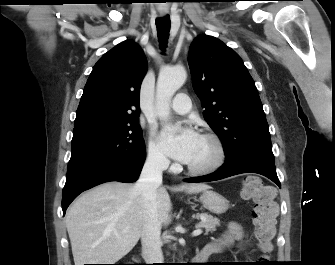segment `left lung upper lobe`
Listing matches in <instances>:
<instances>
[{
	"instance_id": "obj_1",
	"label": "left lung upper lobe",
	"mask_w": 335,
	"mask_h": 265,
	"mask_svg": "<svg viewBox=\"0 0 335 265\" xmlns=\"http://www.w3.org/2000/svg\"><path fill=\"white\" fill-rule=\"evenodd\" d=\"M188 63L203 116L222 141L226 161L255 156L274 162L262 103L239 55L203 35L191 44Z\"/></svg>"
}]
</instances>
